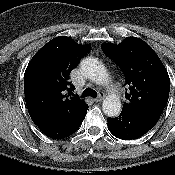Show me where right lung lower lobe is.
Masks as SVG:
<instances>
[{
  "mask_svg": "<svg viewBox=\"0 0 175 175\" xmlns=\"http://www.w3.org/2000/svg\"><path fill=\"white\" fill-rule=\"evenodd\" d=\"M87 109L76 116L57 115L49 117L37 124V126L42 133L52 139L68 137L78 130L86 116Z\"/></svg>",
  "mask_w": 175,
  "mask_h": 175,
  "instance_id": "98d812e1",
  "label": "right lung lower lobe"
}]
</instances>
